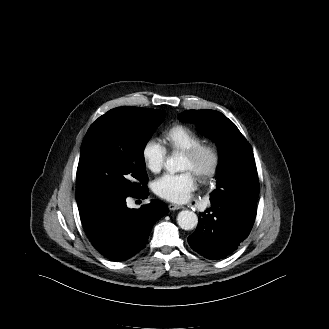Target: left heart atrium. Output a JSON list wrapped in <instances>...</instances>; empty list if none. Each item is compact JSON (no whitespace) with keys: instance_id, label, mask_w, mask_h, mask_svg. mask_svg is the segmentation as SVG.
<instances>
[{"instance_id":"left-heart-atrium-1","label":"left heart atrium","mask_w":329,"mask_h":329,"mask_svg":"<svg viewBox=\"0 0 329 329\" xmlns=\"http://www.w3.org/2000/svg\"><path fill=\"white\" fill-rule=\"evenodd\" d=\"M153 187L159 197L170 202L181 203L196 189V178L190 170L179 174L167 173L158 178Z\"/></svg>"}]
</instances>
